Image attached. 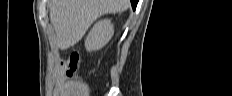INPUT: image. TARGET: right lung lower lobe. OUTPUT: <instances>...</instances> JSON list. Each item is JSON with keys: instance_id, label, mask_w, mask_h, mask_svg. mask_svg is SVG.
<instances>
[{"instance_id": "right-lung-lower-lobe-1", "label": "right lung lower lobe", "mask_w": 232, "mask_h": 96, "mask_svg": "<svg viewBox=\"0 0 232 96\" xmlns=\"http://www.w3.org/2000/svg\"><path fill=\"white\" fill-rule=\"evenodd\" d=\"M130 1H131L133 10H135L136 6H137V3H138V0H130Z\"/></svg>"}]
</instances>
